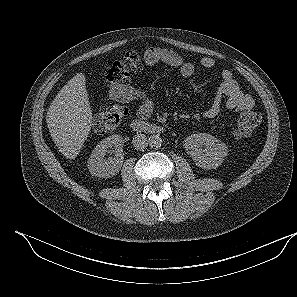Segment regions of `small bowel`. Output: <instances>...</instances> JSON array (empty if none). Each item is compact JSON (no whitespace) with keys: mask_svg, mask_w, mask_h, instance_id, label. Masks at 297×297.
Listing matches in <instances>:
<instances>
[{"mask_svg":"<svg viewBox=\"0 0 297 297\" xmlns=\"http://www.w3.org/2000/svg\"><path fill=\"white\" fill-rule=\"evenodd\" d=\"M144 59L148 65L154 66L164 64L175 68L184 77H190L195 71V65L185 60L178 53L161 47H151L144 52ZM216 61L211 57H204L200 61V65L204 68H212ZM222 82L217 90L214 101L209 108L204 111L206 118H213L219 114L223 104L227 109L246 111L254 106V100L244 93L239 84L233 78V74L229 70L221 72ZM112 100L117 103H130L140 101L141 105L137 111L138 117L148 118L154 109L153 102L148 94L141 88L126 83L113 87L109 91Z\"/></svg>","mask_w":297,"mask_h":297,"instance_id":"small-bowel-1","label":"small bowel"}]
</instances>
